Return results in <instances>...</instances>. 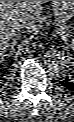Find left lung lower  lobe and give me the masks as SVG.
<instances>
[{"label":"left lung lower lobe","mask_w":74,"mask_h":122,"mask_svg":"<svg viewBox=\"0 0 74 122\" xmlns=\"http://www.w3.org/2000/svg\"><path fill=\"white\" fill-rule=\"evenodd\" d=\"M62 86H64L66 89L74 91V80L66 77L61 82Z\"/></svg>","instance_id":"obj_1"}]
</instances>
